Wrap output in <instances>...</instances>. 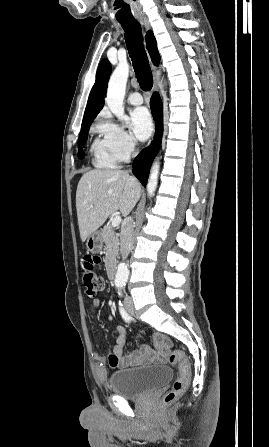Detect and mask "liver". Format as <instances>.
Wrapping results in <instances>:
<instances>
[{"label": "liver", "instance_id": "obj_1", "mask_svg": "<svg viewBox=\"0 0 269 447\" xmlns=\"http://www.w3.org/2000/svg\"><path fill=\"white\" fill-rule=\"evenodd\" d=\"M141 198V186L120 170H90L76 192V210L82 241L106 222L113 212L128 216Z\"/></svg>", "mask_w": 269, "mask_h": 447}]
</instances>
